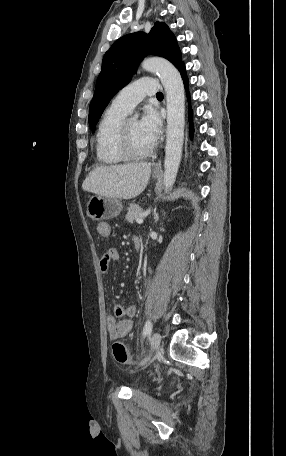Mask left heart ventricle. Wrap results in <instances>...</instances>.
I'll use <instances>...</instances> for the list:
<instances>
[{"instance_id":"b2bd125f","label":"left heart ventricle","mask_w":286,"mask_h":456,"mask_svg":"<svg viewBox=\"0 0 286 456\" xmlns=\"http://www.w3.org/2000/svg\"><path fill=\"white\" fill-rule=\"evenodd\" d=\"M128 130L133 152H145L153 144L149 138L141 131L139 122L137 120L128 121Z\"/></svg>"}]
</instances>
